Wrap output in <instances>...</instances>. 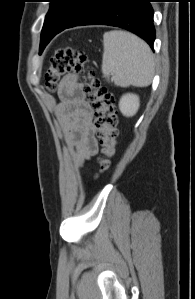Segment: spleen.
<instances>
[{"instance_id": "3e777b00", "label": "spleen", "mask_w": 195, "mask_h": 299, "mask_svg": "<svg viewBox=\"0 0 195 299\" xmlns=\"http://www.w3.org/2000/svg\"><path fill=\"white\" fill-rule=\"evenodd\" d=\"M102 73L116 86L146 87L155 72L153 53L148 44L136 35L113 30L103 35Z\"/></svg>"}]
</instances>
